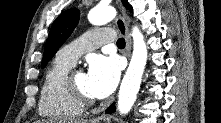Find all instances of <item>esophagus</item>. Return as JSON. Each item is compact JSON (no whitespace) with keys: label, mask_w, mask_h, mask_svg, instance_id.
I'll return each instance as SVG.
<instances>
[{"label":"esophagus","mask_w":221,"mask_h":123,"mask_svg":"<svg viewBox=\"0 0 221 123\" xmlns=\"http://www.w3.org/2000/svg\"><path fill=\"white\" fill-rule=\"evenodd\" d=\"M116 26L119 30V32L125 37V41H126V48H125V52H126V56L128 58H130V53H131V38H130V34H129V29H128V25L126 22V17L124 12L122 11V14H120L117 19H116Z\"/></svg>","instance_id":"esophagus-1"}]
</instances>
